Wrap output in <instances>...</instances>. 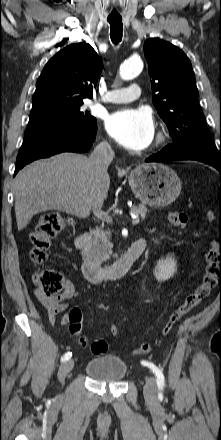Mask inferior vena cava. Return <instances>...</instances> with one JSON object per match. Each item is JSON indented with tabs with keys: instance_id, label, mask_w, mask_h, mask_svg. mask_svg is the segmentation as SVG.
Wrapping results in <instances>:
<instances>
[{
	"instance_id": "602c4592",
	"label": "inferior vena cava",
	"mask_w": 221,
	"mask_h": 440,
	"mask_svg": "<svg viewBox=\"0 0 221 440\" xmlns=\"http://www.w3.org/2000/svg\"><path fill=\"white\" fill-rule=\"evenodd\" d=\"M114 156L115 154L112 147L106 141L99 143L94 148V151L89 157V161L98 179H102L108 175L107 169Z\"/></svg>"
}]
</instances>
